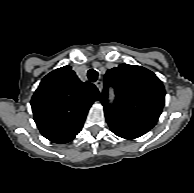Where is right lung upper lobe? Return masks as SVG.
<instances>
[{"label":"right lung upper lobe","instance_id":"cb5924a9","mask_svg":"<svg viewBox=\"0 0 194 193\" xmlns=\"http://www.w3.org/2000/svg\"><path fill=\"white\" fill-rule=\"evenodd\" d=\"M101 97L90 82H81L70 66L46 75L32 99L31 106L41 134L56 142L80 130L89 108Z\"/></svg>","mask_w":194,"mask_h":193}]
</instances>
